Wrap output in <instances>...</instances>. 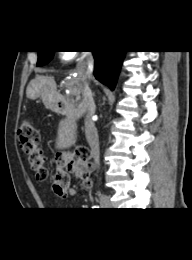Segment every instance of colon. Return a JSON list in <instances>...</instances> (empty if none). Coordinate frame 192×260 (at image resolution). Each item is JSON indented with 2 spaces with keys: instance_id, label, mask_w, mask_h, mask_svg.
Listing matches in <instances>:
<instances>
[{
  "instance_id": "colon-1",
  "label": "colon",
  "mask_w": 192,
  "mask_h": 260,
  "mask_svg": "<svg viewBox=\"0 0 192 260\" xmlns=\"http://www.w3.org/2000/svg\"><path fill=\"white\" fill-rule=\"evenodd\" d=\"M18 143L26 154L29 164L36 172L39 180L49 176L46 160L40 146V135L30 120H23L19 126ZM88 149L81 147L71 154H65L57 160L55 174L52 179L53 191L60 197H66L74 175L84 187L91 186L93 164L90 161Z\"/></svg>"
}]
</instances>
